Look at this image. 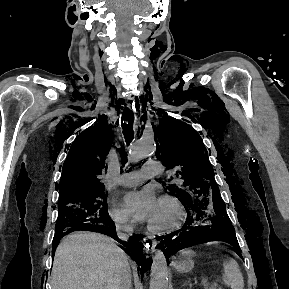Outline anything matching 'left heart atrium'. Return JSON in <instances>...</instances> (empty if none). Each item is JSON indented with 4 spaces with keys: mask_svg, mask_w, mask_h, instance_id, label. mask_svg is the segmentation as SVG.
Returning <instances> with one entry per match:
<instances>
[{
    "mask_svg": "<svg viewBox=\"0 0 289 289\" xmlns=\"http://www.w3.org/2000/svg\"><path fill=\"white\" fill-rule=\"evenodd\" d=\"M125 210L137 221H151L159 202L150 189H143L127 193L123 197Z\"/></svg>",
    "mask_w": 289,
    "mask_h": 289,
    "instance_id": "left-heart-atrium-1",
    "label": "left heart atrium"
}]
</instances>
